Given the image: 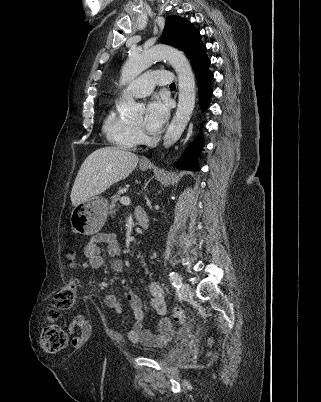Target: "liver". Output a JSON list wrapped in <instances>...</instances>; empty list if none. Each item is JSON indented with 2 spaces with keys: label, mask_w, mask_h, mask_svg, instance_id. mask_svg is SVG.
I'll list each match as a JSON object with an SVG mask.
<instances>
[{
  "label": "liver",
  "mask_w": 321,
  "mask_h": 402,
  "mask_svg": "<svg viewBox=\"0 0 321 402\" xmlns=\"http://www.w3.org/2000/svg\"><path fill=\"white\" fill-rule=\"evenodd\" d=\"M139 157L118 147H103L82 163L71 191L73 206L101 194L125 179L136 168Z\"/></svg>",
  "instance_id": "6515ba94"
}]
</instances>
